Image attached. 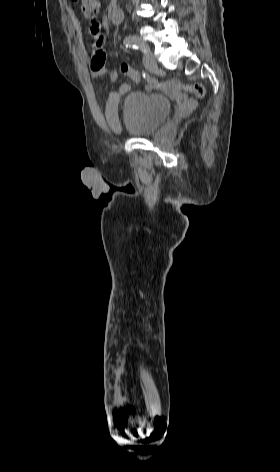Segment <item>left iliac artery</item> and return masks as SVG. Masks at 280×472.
Returning a JSON list of instances; mask_svg holds the SVG:
<instances>
[{"label":"left iliac artery","instance_id":"left-iliac-artery-1","mask_svg":"<svg viewBox=\"0 0 280 472\" xmlns=\"http://www.w3.org/2000/svg\"><path fill=\"white\" fill-rule=\"evenodd\" d=\"M124 45L129 48L141 49L144 51L146 49L145 45L140 41L137 36H127L124 39Z\"/></svg>","mask_w":280,"mask_h":472}]
</instances>
